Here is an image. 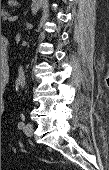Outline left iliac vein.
I'll list each match as a JSON object with an SVG mask.
<instances>
[{"instance_id": "1", "label": "left iliac vein", "mask_w": 109, "mask_h": 170, "mask_svg": "<svg viewBox=\"0 0 109 170\" xmlns=\"http://www.w3.org/2000/svg\"><path fill=\"white\" fill-rule=\"evenodd\" d=\"M24 133L30 137L33 134V125L31 123H27L23 128Z\"/></svg>"}]
</instances>
